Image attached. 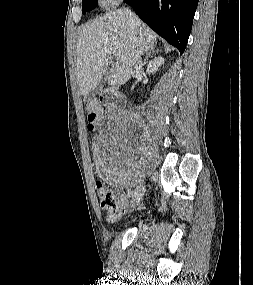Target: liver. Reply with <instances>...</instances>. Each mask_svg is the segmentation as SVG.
<instances>
[{
	"label": "liver",
	"instance_id": "1",
	"mask_svg": "<svg viewBox=\"0 0 253 285\" xmlns=\"http://www.w3.org/2000/svg\"><path fill=\"white\" fill-rule=\"evenodd\" d=\"M132 26L124 9L107 13L86 25L77 42V80L81 95L89 94L98 84L113 56L120 60L107 77L109 85H122L132 75L136 57L157 43V35L136 18Z\"/></svg>",
	"mask_w": 253,
	"mask_h": 285
}]
</instances>
